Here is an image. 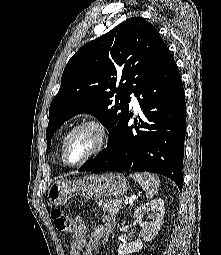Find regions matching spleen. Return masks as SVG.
<instances>
[{
  "label": "spleen",
  "mask_w": 221,
  "mask_h": 255,
  "mask_svg": "<svg viewBox=\"0 0 221 255\" xmlns=\"http://www.w3.org/2000/svg\"><path fill=\"white\" fill-rule=\"evenodd\" d=\"M130 178L139 183L144 189L147 198H152L157 193L160 184L157 175L151 173H134L130 175Z\"/></svg>",
  "instance_id": "spleen-1"
}]
</instances>
